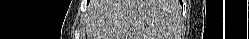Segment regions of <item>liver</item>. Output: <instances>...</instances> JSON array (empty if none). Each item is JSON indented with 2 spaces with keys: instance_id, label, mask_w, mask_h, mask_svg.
I'll return each mask as SVG.
<instances>
[{
  "instance_id": "liver-1",
  "label": "liver",
  "mask_w": 249,
  "mask_h": 39,
  "mask_svg": "<svg viewBox=\"0 0 249 39\" xmlns=\"http://www.w3.org/2000/svg\"><path fill=\"white\" fill-rule=\"evenodd\" d=\"M172 0H98L90 6L88 39H165Z\"/></svg>"
}]
</instances>
